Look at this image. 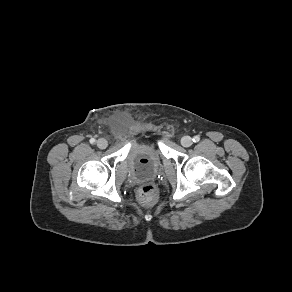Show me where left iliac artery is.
<instances>
[{"instance_id": "left-iliac-artery-1", "label": "left iliac artery", "mask_w": 292, "mask_h": 292, "mask_svg": "<svg viewBox=\"0 0 292 292\" xmlns=\"http://www.w3.org/2000/svg\"><path fill=\"white\" fill-rule=\"evenodd\" d=\"M199 140H200V137H199V136H194V137H193V141H194V142H199Z\"/></svg>"}]
</instances>
